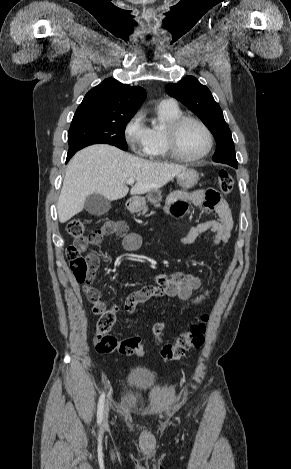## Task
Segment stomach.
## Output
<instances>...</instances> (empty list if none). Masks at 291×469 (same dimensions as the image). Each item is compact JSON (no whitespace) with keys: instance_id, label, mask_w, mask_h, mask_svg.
I'll return each instance as SVG.
<instances>
[{"instance_id":"1","label":"stomach","mask_w":291,"mask_h":469,"mask_svg":"<svg viewBox=\"0 0 291 469\" xmlns=\"http://www.w3.org/2000/svg\"><path fill=\"white\" fill-rule=\"evenodd\" d=\"M199 180V175L194 169H186L177 175V183L184 189L193 187ZM146 199L157 205L162 200V194L159 189H153L148 192L146 197L133 196L129 200V209L132 212L141 211L146 204Z\"/></svg>"}]
</instances>
